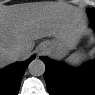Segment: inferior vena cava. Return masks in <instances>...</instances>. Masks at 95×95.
Here are the masks:
<instances>
[{
    "mask_svg": "<svg viewBox=\"0 0 95 95\" xmlns=\"http://www.w3.org/2000/svg\"><path fill=\"white\" fill-rule=\"evenodd\" d=\"M14 56L17 58H20L22 56V49L21 47H16L15 50L13 51Z\"/></svg>",
    "mask_w": 95,
    "mask_h": 95,
    "instance_id": "602c4592",
    "label": "inferior vena cava"
}]
</instances>
